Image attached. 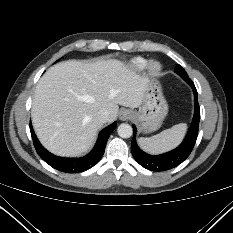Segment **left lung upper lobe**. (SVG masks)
Masks as SVG:
<instances>
[{
    "mask_svg": "<svg viewBox=\"0 0 233 233\" xmlns=\"http://www.w3.org/2000/svg\"><path fill=\"white\" fill-rule=\"evenodd\" d=\"M175 72L180 75L186 82L191 81L189 76L187 75L186 71L180 66L177 65L175 68Z\"/></svg>",
    "mask_w": 233,
    "mask_h": 233,
    "instance_id": "left-lung-upper-lobe-1",
    "label": "left lung upper lobe"
}]
</instances>
